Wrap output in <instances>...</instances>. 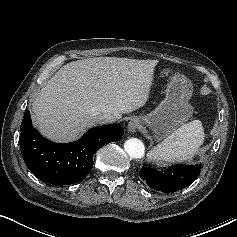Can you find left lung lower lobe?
<instances>
[{"mask_svg":"<svg viewBox=\"0 0 237 237\" xmlns=\"http://www.w3.org/2000/svg\"><path fill=\"white\" fill-rule=\"evenodd\" d=\"M202 165H173L167 170L158 171L151 167H144L139 175L142 180L154 190L173 193L193 183L201 172Z\"/></svg>","mask_w":237,"mask_h":237,"instance_id":"obj_1","label":"left lung lower lobe"}]
</instances>
